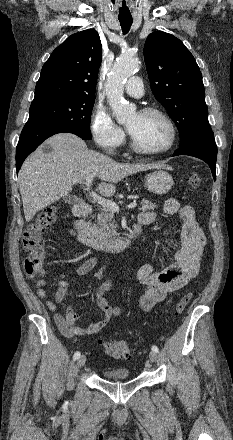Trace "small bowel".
<instances>
[{
	"label": "small bowel",
	"instance_id": "small-bowel-1",
	"mask_svg": "<svg viewBox=\"0 0 233 440\" xmlns=\"http://www.w3.org/2000/svg\"><path fill=\"white\" fill-rule=\"evenodd\" d=\"M164 212L170 216H177L182 222L181 247L166 262L145 263L139 267L136 278L146 287L137 302L142 311H149L153 306L162 302L168 293L179 291L191 282L199 272L207 245L206 236L191 205H181L178 199L172 197L165 202ZM156 217L155 212L145 211L139 214L138 221H149L151 224L156 220ZM96 264L95 257L88 258L76 268L77 275H86ZM46 284L44 279H39L36 282V293L41 299L47 297ZM112 285V281H107L97 287L95 299L97 306L103 312V318L98 322L85 325L80 322L71 306L67 307L65 315L56 312L57 304L65 299L68 292L67 281H58L54 300H47L45 304L51 312H54V321L59 331L66 337H74L92 335L106 327L113 317L120 314V309L111 306L104 296Z\"/></svg>",
	"mask_w": 233,
	"mask_h": 440
}]
</instances>
